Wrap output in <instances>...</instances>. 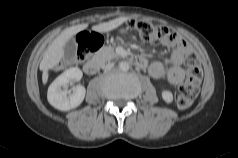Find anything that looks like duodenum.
<instances>
[{
  "mask_svg": "<svg viewBox=\"0 0 238 158\" xmlns=\"http://www.w3.org/2000/svg\"><path fill=\"white\" fill-rule=\"evenodd\" d=\"M132 62L134 63L135 66L139 68H145L147 66V61L143 57H139V56L133 57ZM99 68H100V63L97 60L87 61L83 66L85 73L89 75H93L97 73Z\"/></svg>",
  "mask_w": 238,
  "mask_h": 158,
  "instance_id": "1",
  "label": "duodenum"
}]
</instances>
